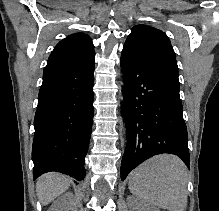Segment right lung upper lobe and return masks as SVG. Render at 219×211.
<instances>
[{
	"instance_id": "obj_1",
	"label": "right lung upper lobe",
	"mask_w": 219,
	"mask_h": 211,
	"mask_svg": "<svg viewBox=\"0 0 219 211\" xmlns=\"http://www.w3.org/2000/svg\"><path fill=\"white\" fill-rule=\"evenodd\" d=\"M95 57L93 43L84 33H75L60 41L52 51L47 65L84 63Z\"/></svg>"
}]
</instances>
